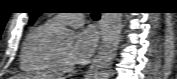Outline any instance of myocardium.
<instances>
[{"mask_svg": "<svg viewBox=\"0 0 177 79\" xmlns=\"http://www.w3.org/2000/svg\"><path fill=\"white\" fill-rule=\"evenodd\" d=\"M56 56L60 69L67 72H71L75 69L73 62L68 61L58 48L56 49Z\"/></svg>", "mask_w": 177, "mask_h": 79, "instance_id": "f54148a6", "label": "myocardium"}]
</instances>
